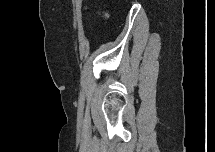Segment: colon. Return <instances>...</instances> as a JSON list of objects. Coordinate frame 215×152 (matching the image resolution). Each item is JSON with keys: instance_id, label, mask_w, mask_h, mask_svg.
I'll return each instance as SVG.
<instances>
[{"instance_id": "colon-1", "label": "colon", "mask_w": 215, "mask_h": 152, "mask_svg": "<svg viewBox=\"0 0 215 152\" xmlns=\"http://www.w3.org/2000/svg\"><path fill=\"white\" fill-rule=\"evenodd\" d=\"M102 17L106 18L108 16V14L106 12H102L101 13Z\"/></svg>"}]
</instances>
